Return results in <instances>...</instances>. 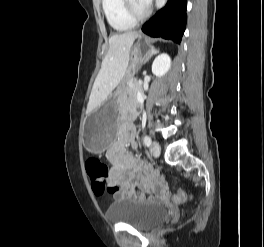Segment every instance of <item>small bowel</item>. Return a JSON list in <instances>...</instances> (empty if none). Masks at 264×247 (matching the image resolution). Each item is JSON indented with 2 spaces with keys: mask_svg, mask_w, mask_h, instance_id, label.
<instances>
[{
  "mask_svg": "<svg viewBox=\"0 0 264 247\" xmlns=\"http://www.w3.org/2000/svg\"><path fill=\"white\" fill-rule=\"evenodd\" d=\"M130 146L137 150L136 127L133 121L125 122L119 130L118 137L107 151V158L113 163L109 172V184L119 187L121 192L116 199L135 196L130 190L136 188L140 195L145 193L162 198L167 194L168 186L163 176L149 163L138 162L126 150Z\"/></svg>",
  "mask_w": 264,
  "mask_h": 247,
  "instance_id": "small-bowel-1",
  "label": "small bowel"
}]
</instances>
